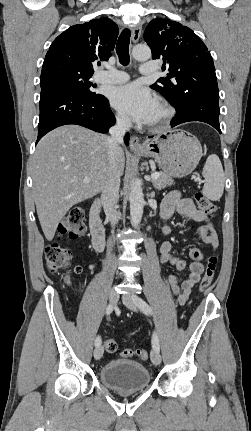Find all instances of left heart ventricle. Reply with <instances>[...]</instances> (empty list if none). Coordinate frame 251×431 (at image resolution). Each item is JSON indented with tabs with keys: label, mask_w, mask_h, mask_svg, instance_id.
<instances>
[{
	"label": "left heart ventricle",
	"mask_w": 251,
	"mask_h": 431,
	"mask_svg": "<svg viewBox=\"0 0 251 431\" xmlns=\"http://www.w3.org/2000/svg\"><path fill=\"white\" fill-rule=\"evenodd\" d=\"M159 116H160V109L158 107L157 110L155 111L154 115H153L151 122L156 120Z\"/></svg>",
	"instance_id": "obj_1"
}]
</instances>
